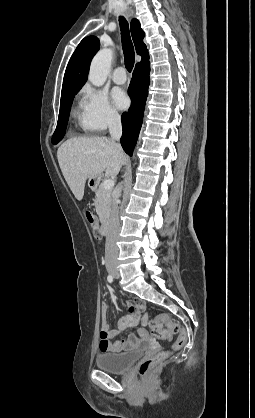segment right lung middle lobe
Instances as JSON below:
<instances>
[{
	"instance_id": "dd1d6c3e",
	"label": "right lung middle lobe",
	"mask_w": 255,
	"mask_h": 418,
	"mask_svg": "<svg viewBox=\"0 0 255 418\" xmlns=\"http://www.w3.org/2000/svg\"><path fill=\"white\" fill-rule=\"evenodd\" d=\"M78 91L79 90H74L61 94L59 118L56 130L52 137V143L54 145L60 142L64 137L73 98Z\"/></svg>"
}]
</instances>
